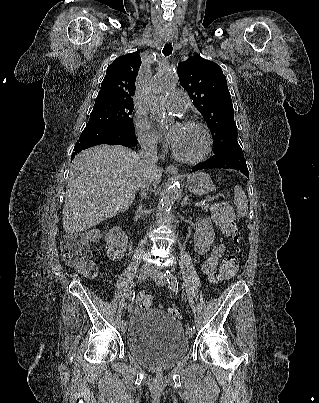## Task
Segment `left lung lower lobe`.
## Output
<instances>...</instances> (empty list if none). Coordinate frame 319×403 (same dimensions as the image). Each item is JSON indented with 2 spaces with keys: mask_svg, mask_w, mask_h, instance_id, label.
<instances>
[{
  "mask_svg": "<svg viewBox=\"0 0 319 403\" xmlns=\"http://www.w3.org/2000/svg\"><path fill=\"white\" fill-rule=\"evenodd\" d=\"M212 168L235 169L249 177L246 161L240 146H232L219 154H215L207 161L195 166L192 172Z\"/></svg>",
  "mask_w": 319,
  "mask_h": 403,
  "instance_id": "0a47b994",
  "label": "left lung lower lobe"
}]
</instances>
